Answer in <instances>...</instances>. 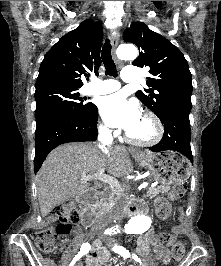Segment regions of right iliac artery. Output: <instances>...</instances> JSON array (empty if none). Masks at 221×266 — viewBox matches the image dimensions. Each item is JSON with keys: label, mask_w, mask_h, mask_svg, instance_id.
Here are the masks:
<instances>
[{"label": "right iliac artery", "mask_w": 221, "mask_h": 266, "mask_svg": "<svg viewBox=\"0 0 221 266\" xmlns=\"http://www.w3.org/2000/svg\"><path fill=\"white\" fill-rule=\"evenodd\" d=\"M90 248H91V246H90L89 243H84L81 246V249H80L79 253L73 258V260L71 261L69 266H74L76 261H78L83 255H85V254H87L89 252Z\"/></svg>", "instance_id": "obj_1"}]
</instances>
